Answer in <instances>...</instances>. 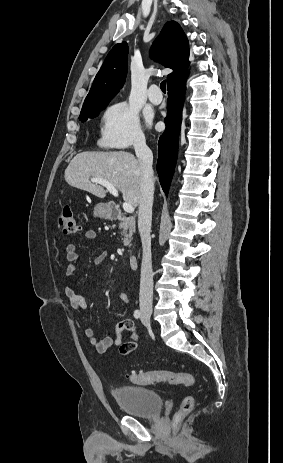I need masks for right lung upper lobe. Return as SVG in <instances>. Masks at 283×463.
<instances>
[{"instance_id":"right-lung-upper-lobe-1","label":"right lung upper lobe","mask_w":283,"mask_h":463,"mask_svg":"<svg viewBox=\"0 0 283 463\" xmlns=\"http://www.w3.org/2000/svg\"><path fill=\"white\" fill-rule=\"evenodd\" d=\"M153 58L173 69L167 77L168 85L186 79L189 66V43L180 25L168 21L151 48ZM128 46L116 44L97 73L83 106L112 99L123 86L127 74Z\"/></svg>"}]
</instances>
